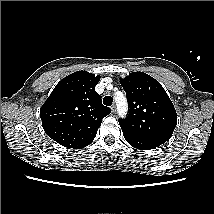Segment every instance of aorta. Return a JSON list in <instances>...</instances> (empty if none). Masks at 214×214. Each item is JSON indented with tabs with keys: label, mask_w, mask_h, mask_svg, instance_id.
<instances>
[{
	"label": "aorta",
	"mask_w": 214,
	"mask_h": 214,
	"mask_svg": "<svg viewBox=\"0 0 214 214\" xmlns=\"http://www.w3.org/2000/svg\"><path fill=\"white\" fill-rule=\"evenodd\" d=\"M115 101L117 104V111L120 117H125L128 110L127 100L122 92H117L115 94Z\"/></svg>",
	"instance_id": "obj_1"
}]
</instances>
